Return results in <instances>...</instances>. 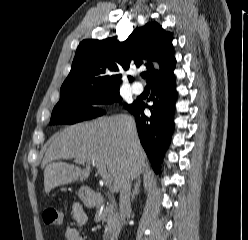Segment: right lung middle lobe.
Wrapping results in <instances>:
<instances>
[{
  "mask_svg": "<svg viewBox=\"0 0 248 240\" xmlns=\"http://www.w3.org/2000/svg\"><path fill=\"white\" fill-rule=\"evenodd\" d=\"M120 100L119 89H66L52 111L50 124H74L101 116L104 111L93 105L110 104ZM129 106L128 104L125 107Z\"/></svg>",
  "mask_w": 248,
  "mask_h": 240,
  "instance_id": "obj_1",
  "label": "right lung middle lobe"
}]
</instances>
